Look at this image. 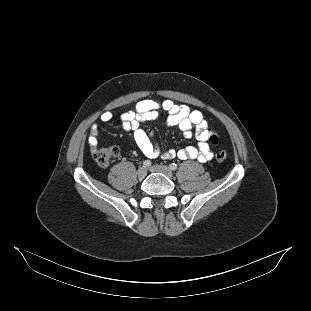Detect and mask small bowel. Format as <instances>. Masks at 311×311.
Listing matches in <instances>:
<instances>
[{"label":"small bowel","instance_id":"c3829d8e","mask_svg":"<svg viewBox=\"0 0 311 311\" xmlns=\"http://www.w3.org/2000/svg\"><path fill=\"white\" fill-rule=\"evenodd\" d=\"M160 111L168 114L167 125L177 127L186 138H191L195 134L198 140L197 146H188L179 150L162 149L155 141L153 134L141 128L142 123L157 120ZM112 119L111 112H104L100 116L102 122H109ZM119 119L123 130L133 134L137 146L149 159L177 157L181 160L197 159L200 162H206L213 157L208 141L215 133L209 129L208 122L199 110H191L188 106L178 105L169 99L163 101L146 99L139 101L134 110L121 113ZM98 138L99 128L97 123H93L88 134V144L91 150L96 148Z\"/></svg>","mask_w":311,"mask_h":311}]
</instances>
